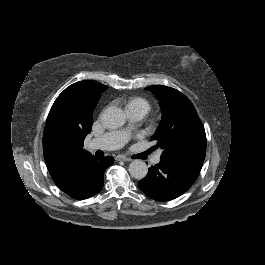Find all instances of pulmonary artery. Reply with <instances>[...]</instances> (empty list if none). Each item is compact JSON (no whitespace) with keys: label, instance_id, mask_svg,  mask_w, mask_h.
Listing matches in <instances>:
<instances>
[{"label":"pulmonary artery","instance_id":"e3ab8cb5","mask_svg":"<svg viewBox=\"0 0 265 265\" xmlns=\"http://www.w3.org/2000/svg\"><path fill=\"white\" fill-rule=\"evenodd\" d=\"M129 115L135 119L140 120L144 117L145 113L142 111L130 112ZM136 125L134 122L129 121L126 123L122 131H108L104 135H101L97 139V144L104 150L112 151L120 149L126 141H131L137 138L138 133L135 130ZM161 152H159L153 158V163L160 161Z\"/></svg>","mask_w":265,"mask_h":265}]
</instances>
